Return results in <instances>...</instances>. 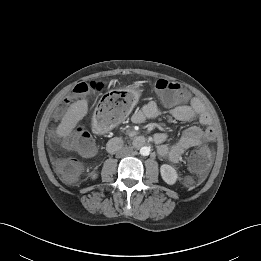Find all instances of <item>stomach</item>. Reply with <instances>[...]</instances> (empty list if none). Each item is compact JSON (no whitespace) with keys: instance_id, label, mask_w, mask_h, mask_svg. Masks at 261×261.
Wrapping results in <instances>:
<instances>
[{"instance_id":"0dacf381","label":"stomach","mask_w":261,"mask_h":261,"mask_svg":"<svg viewBox=\"0 0 261 261\" xmlns=\"http://www.w3.org/2000/svg\"><path fill=\"white\" fill-rule=\"evenodd\" d=\"M125 99L128 102V111H130L140 98V89L137 86H131L124 91ZM93 130L96 133L103 134L111 130L115 123L105 121L102 116L97 113L93 116Z\"/></svg>"}]
</instances>
